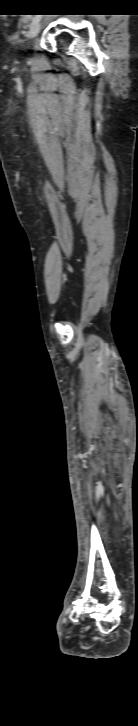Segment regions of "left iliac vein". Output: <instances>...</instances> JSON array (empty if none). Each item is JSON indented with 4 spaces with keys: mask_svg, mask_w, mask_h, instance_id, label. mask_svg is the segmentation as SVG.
I'll return each instance as SVG.
<instances>
[{
    "mask_svg": "<svg viewBox=\"0 0 138 726\" xmlns=\"http://www.w3.org/2000/svg\"><path fill=\"white\" fill-rule=\"evenodd\" d=\"M40 27H41V24L39 21L36 23H33L28 32V39H30V40L34 39L37 36V34L39 33Z\"/></svg>",
    "mask_w": 138,
    "mask_h": 726,
    "instance_id": "obj_1",
    "label": "left iliac vein"
}]
</instances>
